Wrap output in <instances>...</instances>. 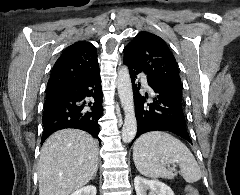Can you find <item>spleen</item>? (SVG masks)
Segmentation results:
<instances>
[{"label":"spleen","instance_id":"obj_1","mask_svg":"<svg viewBox=\"0 0 240 195\" xmlns=\"http://www.w3.org/2000/svg\"><path fill=\"white\" fill-rule=\"evenodd\" d=\"M134 163L146 177H167L165 163H179L180 173L188 183L201 177V169L190 149L166 131H147L133 145ZM163 159V161H160Z\"/></svg>","mask_w":240,"mask_h":195}]
</instances>
